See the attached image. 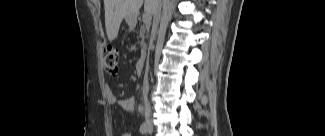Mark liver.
Here are the masks:
<instances>
[{"instance_id":"6515ba94","label":"liver","mask_w":325,"mask_h":136,"mask_svg":"<svg viewBox=\"0 0 325 136\" xmlns=\"http://www.w3.org/2000/svg\"><path fill=\"white\" fill-rule=\"evenodd\" d=\"M144 0H104L105 27L109 41L118 36V31L124 17L137 18ZM152 0H145V11L153 13Z\"/></svg>"}]
</instances>
